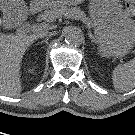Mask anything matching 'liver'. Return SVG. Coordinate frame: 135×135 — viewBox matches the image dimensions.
<instances>
[{
    "instance_id": "obj_1",
    "label": "liver",
    "mask_w": 135,
    "mask_h": 135,
    "mask_svg": "<svg viewBox=\"0 0 135 135\" xmlns=\"http://www.w3.org/2000/svg\"><path fill=\"white\" fill-rule=\"evenodd\" d=\"M39 38V32L26 36L0 34V94L18 96L22 91L20 67L27 48Z\"/></svg>"
}]
</instances>
